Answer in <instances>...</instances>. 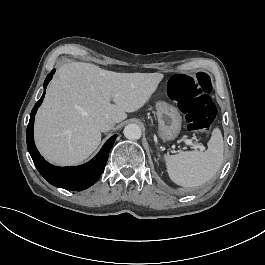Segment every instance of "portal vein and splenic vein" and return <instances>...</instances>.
I'll return each mask as SVG.
<instances>
[{
  "mask_svg": "<svg viewBox=\"0 0 265 265\" xmlns=\"http://www.w3.org/2000/svg\"><path fill=\"white\" fill-rule=\"evenodd\" d=\"M185 142L187 145H190L195 149L205 150V147L202 144H200V143L196 144L191 139H187V140H185Z\"/></svg>",
  "mask_w": 265,
  "mask_h": 265,
  "instance_id": "1",
  "label": "portal vein and splenic vein"
}]
</instances>
